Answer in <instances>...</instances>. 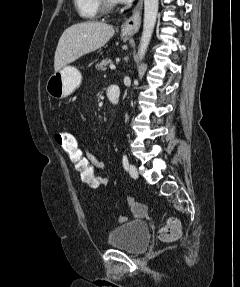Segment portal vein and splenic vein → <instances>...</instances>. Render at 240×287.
Returning <instances> with one entry per match:
<instances>
[{"label":"portal vein and splenic vein","mask_w":240,"mask_h":287,"mask_svg":"<svg viewBox=\"0 0 240 287\" xmlns=\"http://www.w3.org/2000/svg\"><path fill=\"white\" fill-rule=\"evenodd\" d=\"M109 67H110V69H111V70H115V69H116V66H115V65H113V64H110V66H109Z\"/></svg>","instance_id":"18ae733b"}]
</instances>
